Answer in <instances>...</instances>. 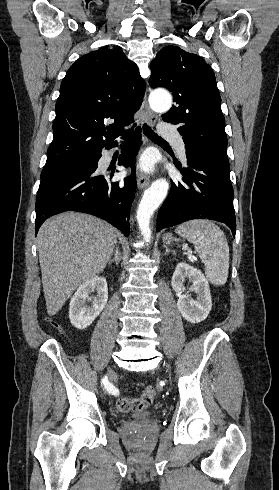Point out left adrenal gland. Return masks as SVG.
Listing matches in <instances>:
<instances>
[{"instance_id":"obj_1","label":"left adrenal gland","mask_w":279,"mask_h":490,"mask_svg":"<svg viewBox=\"0 0 279 490\" xmlns=\"http://www.w3.org/2000/svg\"><path fill=\"white\" fill-rule=\"evenodd\" d=\"M166 252L164 254V256H168L169 252H173V256H175L176 252L175 250H169L168 246H164Z\"/></svg>"}]
</instances>
